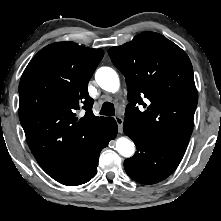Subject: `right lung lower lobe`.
<instances>
[{
  "mask_svg": "<svg viewBox=\"0 0 221 221\" xmlns=\"http://www.w3.org/2000/svg\"><path fill=\"white\" fill-rule=\"evenodd\" d=\"M117 134V124L108 118L103 128L75 156L55 170L47 173L54 180L67 186L88 182L97 173L99 154Z\"/></svg>",
  "mask_w": 221,
  "mask_h": 221,
  "instance_id": "98d812e1",
  "label": "right lung lower lobe"
}]
</instances>
